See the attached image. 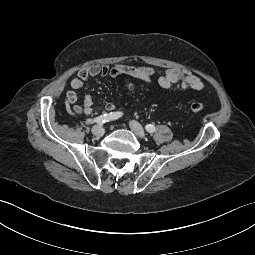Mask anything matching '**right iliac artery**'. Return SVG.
<instances>
[{
  "label": "right iliac artery",
  "instance_id": "82829eb1",
  "mask_svg": "<svg viewBox=\"0 0 255 255\" xmlns=\"http://www.w3.org/2000/svg\"><path fill=\"white\" fill-rule=\"evenodd\" d=\"M123 115L122 112H113V113H109V114H103L99 117H96L94 120H91L90 123H97V124H103L105 122H109L115 119L120 118Z\"/></svg>",
  "mask_w": 255,
  "mask_h": 255
}]
</instances>
